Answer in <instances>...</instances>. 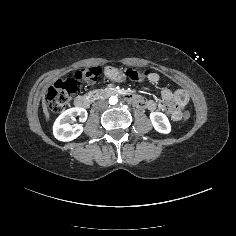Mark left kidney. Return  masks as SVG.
<instances>
[{
  "mask_svg": "<svg viewBox=\"0 0 236 236\" xmlns=\"http://www.w3.org/2000/svg\"><path fill=\"white\" fill-rule=\"evenodd\" d=\"M149 118L156 132L161 134H169L171 132V124L164 113L153 111L149 114Z\"/></svg>",
  "mask_w": 236,
  "mask_h": 236,
  "instance_id": "obj_1",
  "label": "left kidney"
}]
</instances>
